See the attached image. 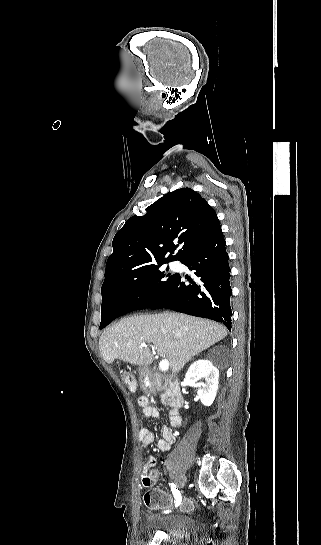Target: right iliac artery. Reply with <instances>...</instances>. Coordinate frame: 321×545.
Listing matches in <instances>:
<instances>
[{
	"instance_id": "1",
	"label": "right iliac artery",
	"mask_w": 321,
	"mask_h": 545,
	"mask_svg": "<svg viewBox=\"0 0 321 545\" xmlns=\"http://www.w3.org/2000/svg\"><path fill=\"white\" fill-rule=\"evenodd\" d=\"M170 487H171V491L177 501V503H180L181 501V495H180V492L179 490L176 488L175 484L174 483H170Z\"/></svg>"
}]
</instances>
